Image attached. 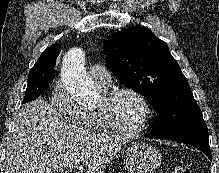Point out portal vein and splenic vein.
I'll return each mask as SVG.
<instances>
[{
	"mask_svg": "<svg viewBox=\"0 0 219 173\" xmlns=\"http://www.w3.org/2000/svg\"><path fill=\"white\" fill-rule=\"evenodd\" d=\"M78 167V165H72L71 169H76Z\"/></svg>",
	"mask_w": 219,
	"mask_h": 173,
	"instance_id": "1",
	"label": "portal vein and splenic vein"
}]
</instances>
